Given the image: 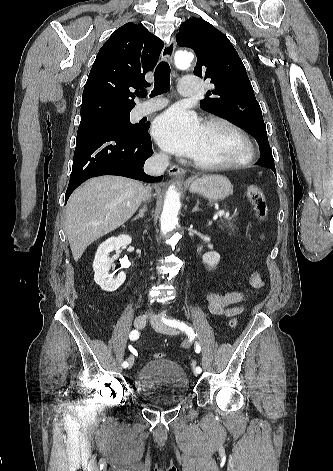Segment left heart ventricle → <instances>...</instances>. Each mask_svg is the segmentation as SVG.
<instances>
[{"instance_id":"obj_1","label":"left heart ventricle","mask_w":333,"mask_h":471,"mask_svg":"<svg viewBox=\"0 0 333 471\" xmlns=\"http://www.w3.org/2000/svg\"><path fill=\"white\" fill-rule=\"evenodd\" d=\"M242 146L237 136L219 125L202 126L194 159L201 162H223L240 155Z\"/></svg>"}]
</instances>
